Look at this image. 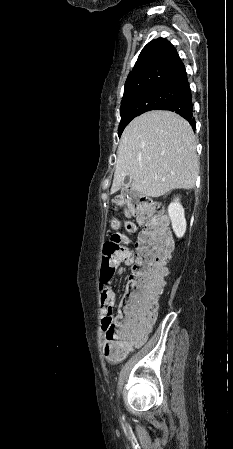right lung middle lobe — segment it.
Listing matches in <instances>:
<instances>
[{
	"mask_svg": "<svg viewBox=\"0 0 233 449\" xmlns=\"http://www.w3.org/2000/svg\"><path fill=\"white\" fill-rule=\"evenodd\" d=\"M181 97V89L166 86L146 88L123 96L120 107L121 121L118 135L122 134L124 128L136 116L146 111L159 109L166 103Z\"/></svg>",
	"mask_w": 233,
	"mask_h": 449,
	"instance_id": "dd1d6c3e",
	"label": "right lung middle lobe"
}]
</instances>
